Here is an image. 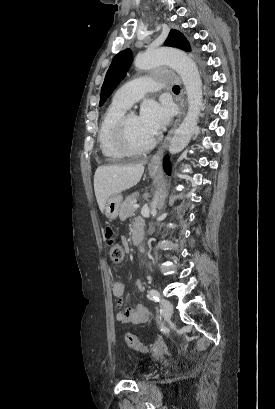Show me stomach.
Masks as SVG:
<instances>
[{"instance_id": "0dacf381", "label": "stomach", "mask_w": 275, "mask_h": 409, "mask_svg": "<svg viewBox=\"0 0 275 409\" xmlns=\"http://www.w3.org/2000/svg\"><path fill=\"white\" fill-rule=\"evenodd\" d=\"M148 170L151 176H156L159 168L148 166ZM122 200V194H112V196H109V198H107L105 202V215L107 219H109V221H114V219H117Z\"/></svg>"}]
</instances>
